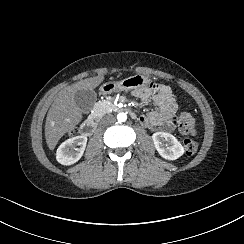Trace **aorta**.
Returning a JSON list of instances; mask_svg holds the SVG:
<instances>
[{"instance_id": "762f6f07", "label": "aorta", "mask_w": 244, "mask_h": 244, "mask_svg": "<svg viewBox=\"0 0 244 244\" xmlns=\"http://www.w3.org/2000/svg\"><path fill=\"white\" fill-rule=\"evenodd\" d=\"M117 120L119 122H125L127 120V115L125 113H119L117 115Z\"/></svg>"}]
</instances>
